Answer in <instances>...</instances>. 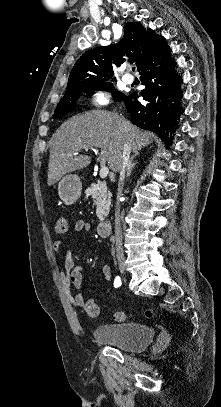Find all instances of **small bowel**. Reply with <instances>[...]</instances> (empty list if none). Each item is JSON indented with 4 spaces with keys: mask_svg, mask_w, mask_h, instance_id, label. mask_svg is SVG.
I'll use <instances>...</instances> for the list:
<instances>
[{
    "mask_svg": "<svg viewBox=\"0 0 221 407\" xmlns=\"http://www.w3.org/2000/svg\"><path fill=\"white\" fill-rule=\"evenodd\" d=\"M91 226L88 222L79 219L74 223V232L83 233L88 232ZM64 242L62 240H57L53 245V254L55 257L59 256L63 247ZM102 272L107 280L111 277V269L109 266L105 265L102 267ZM61 287L71 305L76 309H82L84 307V296L81 292L83 280H84V269L80 266H75L72 251L67 249L64 255V265L63 269L59 274ZM77 290L76 294H73L71 287Z\"/></svg>",
    "mask_w": 221,
    "mask_h": 407,
    "instance_id": "c3829d8e",
    "label": "small bowel"
}]
</instances>
